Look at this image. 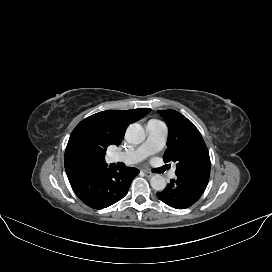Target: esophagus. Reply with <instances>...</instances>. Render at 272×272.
<instances>
[{
	"mask_svg": "<svg viewBox=\"0 0 272 272\" xmlns=\"http://www.w3.org/2000/svg\"><path fill=\"white\" fill-rule=\"evenodd\" d=\"M144 173H145V175H146L147 177H152V176L154 175V173L149 172V171H147V170H145Z\"/></svg>",
	"mask_w": 272,
	"mask_h": 272,
	"instance_id": "34e87169",
	"label": "esophagus"
}]
</instances>
